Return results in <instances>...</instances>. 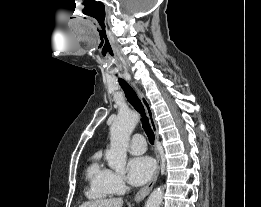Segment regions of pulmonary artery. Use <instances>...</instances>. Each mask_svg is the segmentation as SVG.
Returning <instances> with one entry per match:
<instances>
[{
  "mask_svg": "<svg viewBox=\"0 0 261 207\" xmlns=\"http://www.w3.org/2000/svg\"><path fill=\"white\" fill-rule=\"evenodd\" d=\"M145 149H146V143L144 137L140 134H135L131 139L129 145V151L132 154L138 155L144 153Z\"/></svg>",
  "mask_w": 261,
  "mask_h": 207,
  "instance_id": "e3ab8cb5",
  "label": "pulmonary artery"
}]
</instances>
